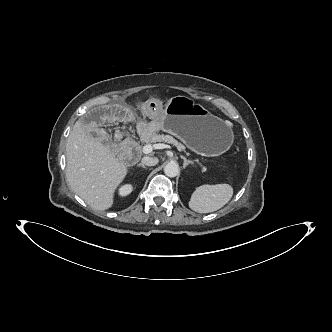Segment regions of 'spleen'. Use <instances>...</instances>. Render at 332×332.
<instances>
[{"label": "spleen", "mask_w": 332, "mask_h": 332, "mask_svg": "<svg viewBox=\"0 0 332 332\" xmlns=\"http://www.w3.org/2000/svg\"><path fill=\"white\" fill-rule=\"evenodd\" d=\"M233 196L229 184L201 185L192 193L189 207L198 213H210L221 209Z\"/></svg>", "instance_id": "3e777b00"}]
</instances>
